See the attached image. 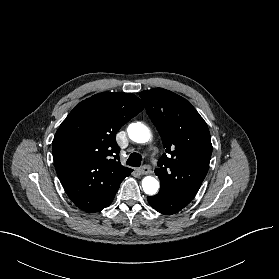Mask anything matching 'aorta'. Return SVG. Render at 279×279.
<instances>
[{"mask_svg":"<svg viewBox=\"0 0 279 279\" xmlns=\"http://www.w3.org/2000/svg\"><path fill=\"white\" fill-rule=\"evenodd\" d=\"M129 138L136 143H146L150 140L149 129L142 123H132L127 128ZM143 191L148 195H154L159 189V181L153 176H146L142 180Z\"/></svg>","mask_w":279,"mask_h":279,"instance_id":"762f6f07","label":"aorta"}]
</instances>
